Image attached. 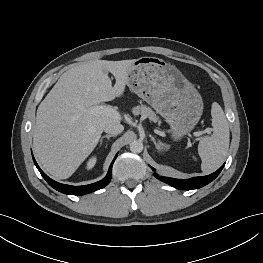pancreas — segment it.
Listing matches in <instances>:
<instances>
[{
	"mask_svg": "<svg viewBox=\"0 0 263 263\" xmlns=\"http://www.w3.org/2000/svg\"><path fill=\"white\" fill-rule=\"evenodd\" d=\"M133 114L134 115H139L140 114L143 117L149 118L153 122H159L160 123V121H158V117L152 111V109L147 107V106H145V105L134 107L133 108Z\"/></svg>",
	"mask_w": 263,
	"mask_h": 263,
	"instance_id": "cf45deb5",
	"label": "pancreas"
}]
</instances>
